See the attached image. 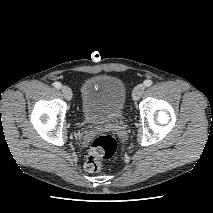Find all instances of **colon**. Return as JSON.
<instances>
[{
	"mask_svg": "<svg viewBox=\"0 0 213 213\" xmlns=\"http://www.w3.org/2000/svg\"><path fill=\"white\" fill-rule=\"evenodd\" d=\"M118 149L116 137L110 133L96 136L90 146L84 162V168L89 173H98L102 170V161L114 157Z\"/></svg>",
	"mask_w": 213,
	"mask_h": 213,
	"instance_id": "colon-1",
	"label": "colon"
}]
</instances>
